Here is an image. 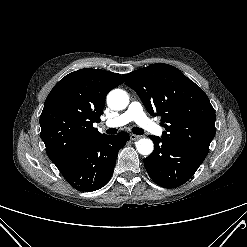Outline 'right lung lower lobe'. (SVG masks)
Returning <instances> with one entry per match:
<instances>
[{
	"label": "right lung lower lobe",
	"mask_w": 247,
	"mask_h": 247,
	"mask_svg": "<svg viewBox=\"0 0 247 247\" xmlns=\"http://www.w3.org/2000/svg\"><path fill=\"white\" fill-rule=\"evenodd\" d=\"M129 139L126 132L103 135L85 146L59 171L77 190H98L110 180L118 152Z\"/></svg>",
	"instance_id": "1"
}]
</instances>
